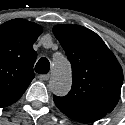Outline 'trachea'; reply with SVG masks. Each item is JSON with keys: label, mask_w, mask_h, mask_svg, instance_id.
Here are the masks:
<instances>
[{"label": "trachea", "mask_w": 125, "mask_h": 125, "mask_svg": "<svg viewBox=\"0 0 125 125\" xmlns=\"http://www.w3.org/2000/svg\"><path fill=\"white\" fill-rule=\"evenodd\" d=\"M50 69V62L47 58H41L36 66H35V71L39 74H47Z\"/></svg>", "instance_id": "1"}]
</instances>
